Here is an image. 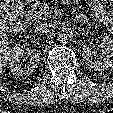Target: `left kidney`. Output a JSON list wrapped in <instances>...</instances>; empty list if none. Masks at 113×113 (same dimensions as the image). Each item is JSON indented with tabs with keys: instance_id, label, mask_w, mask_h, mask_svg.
Returning <instances> with one entry per match:
<instances>
[{
	"instance_id": "1",
	"label": "left kidney",
	"mask_w": 113,
	"mask_h": 113,
	"mask_svg": "<svg viewBox=\"0 0 113 113\" xmlns=\"http://www.w3.org/2000/svg\"><path fill=\"white\" fill-rule=\"evenodd\" d=\"M100 47L102 48V54L104 56L103 61L94 59L91 45L84 46L82 49L84 61L89 68L96 71H104L108 69L113 70V40L108 37H104L101 40Z\"/></svg>"
}]
</instances>
